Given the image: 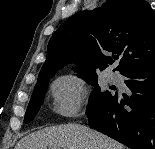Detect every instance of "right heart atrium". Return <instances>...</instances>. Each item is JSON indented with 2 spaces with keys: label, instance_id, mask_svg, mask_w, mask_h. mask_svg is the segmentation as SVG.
Wrapping results in <instances>:
<instances>
[{
  "label": "right heart atrium",
  "instance_id": "obj_1",
  "mask_svg": "<svg viewBox=\"0 0 155 149\" xmlns=\"http://www.w3.org/2000/svg\"><path fill=\"white\" fill-rule=\"evenodd\" d=\"M54 110L62 117L77 116L88 96L86 82L77 75L58 77L51 86Z\"/></svg>",
  "mask_w": 155,
  "mask_h": 149
}]
</instances>
